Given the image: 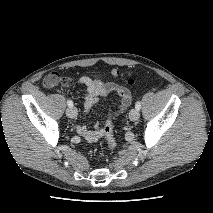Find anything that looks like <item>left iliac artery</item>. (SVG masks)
<instances>
[{
	"instance_id": "left-iliac-artery-1",
	"label": "left iliac artery",
	"mask_w": 213,
	"mask_h": 213,
	"mask_svg": "<svg viewBox=\"0 0 213 213\" xmlns=\"http://www.w3.org/2000/svg\"><path fill=\"white\" fill-rule=\"evenodd\" d=\"M135 108H136L137 110H140V109H141V103H140V101H137V102H136Z\"/></svg>"
}]
</instances>
